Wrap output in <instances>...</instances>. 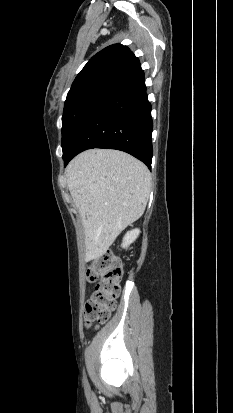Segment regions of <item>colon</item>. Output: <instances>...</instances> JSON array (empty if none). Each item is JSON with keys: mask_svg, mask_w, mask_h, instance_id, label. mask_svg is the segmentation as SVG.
Wrapping results in <instances>:
<instances>
[{"mask_svg": "<svg viewBox=\"0 0 233 413\" xmlns=\"http://www.w3.org/2000/svg\"><path fill=\"white\" fill-rule=\"evenodd\" d=\"M122 264L119 258L107 252L93 260L87 269L89 282H97L95 291L85 305V324L106 322L115 308V300L120 292Z\"/></svg>", "mask_w": 233, "mask_h": 413, "instance_id": "5ec220e1", "label": "colon"}]
</instances>
